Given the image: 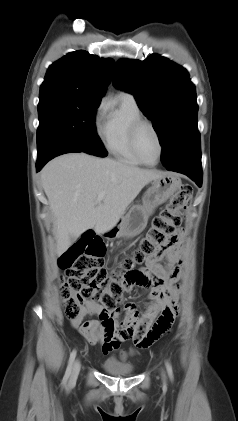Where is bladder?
<instances>
[{"label":"bladder","mask_w":238,"mask_h":421,"mask_svg":"<svg viewBox=\"0 0 238 421\" xmlns=\"http://www.w3.org/2000/svg\"><path fill=\"white\" fill-rule=\"evenodd\" d=\"M102 368L113 376H129L134 372V366L107 359L102 363Z\"/></svg>","instance_id":"bladder-1"}]
</instances>
